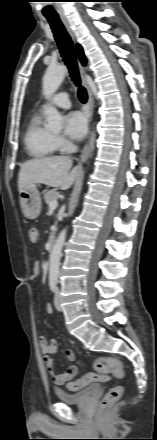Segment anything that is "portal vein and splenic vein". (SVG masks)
<instances>
[{
  "label": "portal vein and splenic vein",
  "mask_w": 157,
  "mask_h": 440,
  "mask_svg": "<svg viewBox=\"0 0 157 440\" xmlns=\"http://www.w3.org/2000/svg\"><path fill=\"white\" fill-rule=\"evenodd\" d=\"M57 207H58V202H57V200H54V201L50 202V204H49V209H50L51 211L55 210Z\"/></svg>",
  "instance_id": "18ae733b"
}]
</instances>
